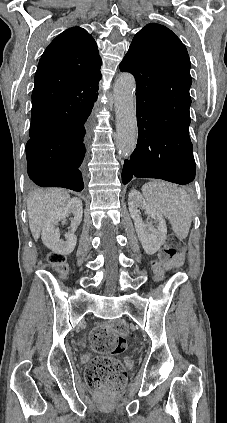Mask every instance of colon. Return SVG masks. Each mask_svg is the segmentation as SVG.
I'll return each instance as SVG.
<instances>
[{"label":"colon","mask_w":227,"mask_h":423,"mask_svg":"<svg viewBox=\"0 0 227 423\" xmlns=\"http://www.w3.org/2000/svg\"><path fill=\"white\" fill-rule=\"evenodd\" d=\"M181 252L180 239L175 235H170L166 247L152 264L157 279L163 277L168 265ZM48 260L60 274L66 275L68 268L64 256L50 253ZM90 345L98 356L92 358L87 365L88 385L99 389L104 395L119 392L126 381V370L113 355L124 352L127 347L125 326L116 323L96 327L90 335Z\"/></svg>","instance_id":"obj_1"}]
</instances>
